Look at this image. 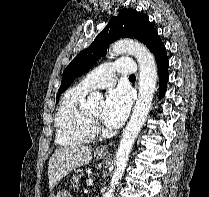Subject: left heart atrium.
<instances>
[{"label": "left heart atrium", "mask_w": 209, "mask_h": 197, "mask_svg": "<svg viewBox=\"0 0 209 197\" xmlns=\"http://www.w3.org/2000/svg\"><path fill=\"white\" fill-rule=\"evenodd\" d=\"M131 105L132 97L126 87L110 89L101 112L103 122L110 127L119 126L127 118Z\"/></svg>", "instance_id": "1"}]
</instances>
